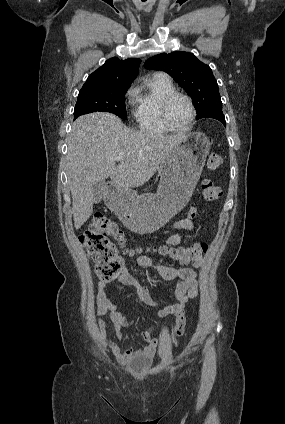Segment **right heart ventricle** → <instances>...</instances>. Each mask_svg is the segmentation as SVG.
I'll return each instance as SVG.
<instances>
[{"instance_id":"e07e8e85","label":"right heart ventricle","mask_w":285,"mask_h":424,"mask_svg":"<svg viewBox=\"0 0 285 424\" xmlns=\"http://www.w3.org/2000/svg\"><path fill=\"white\" fill-rule=\"evenodd\" d=\"M173 92L172 82L159 74L134 89L133 116L142 131L156 135L170 132L161 120L160 108L162 101Z\"/></svg>"}]
</instances>
